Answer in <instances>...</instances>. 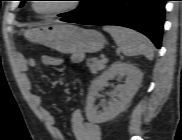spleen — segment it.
<instances>
[{
	"mask_svg": "<svg viewBox=\"0 0 182 140\" xmlns=\"http://www.w3.org/2000/svg\"><path fill=\"white\" fill-rule=\"evenodd\" d=\"M103 29L113 37L116 44L121 47L124 55H144L149 60L153 59V45L144 35L120 26H104Z\"/></svg>",
	"mask_w": 182,
	"mask_h": 140,
	"instance_id": "spleen-1",
	"label": "spleen"
}]
</instances>
